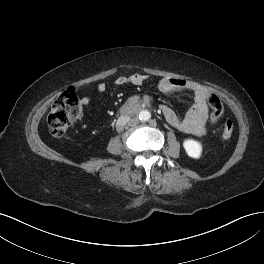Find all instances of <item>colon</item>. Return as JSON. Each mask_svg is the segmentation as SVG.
<instances>
[{"label": "colon", "instance_id": "obj_1", "mask_svg": "<svg viewBox=\"0 0 264 264\" xmlns=\"http://www.w3.org/2000/svg\"><path fill=\"white\" fill-rule=\"evenodd\" d=\"M207 102L211 108L210 121H218L223 114L224 107L218 96L208 94ZM81 114V105L74 90L69 89L62 93L53 103L48 115V127L51 134L55 137H62L68 127ZM234 124L227 120L223 125L222 137L228 140L232 137Z\"/></svg>", "mask_w": 264, "mask_h": 264}]
</instances>
